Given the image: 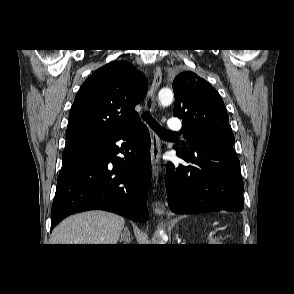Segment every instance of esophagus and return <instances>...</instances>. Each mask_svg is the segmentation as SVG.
<instances>
[{
  "label": "esophagus",
  "mask_w": 294,
  "mask_h": 294,
  "mask_svg": "<svg viewBox=\"0 0 294 294\" xmlns=\"http://www.w3.org/2000/svg\"><path fill=\"white\" fill-rule=\"evenodd\" d=\"M162 81V72L160 67L157 65L154 69V76L152 85L150 88V97H151V110L155 111V95L158 90V87L160 86ZM150 136H151V164H152V175L157 180L159 176L160 171V160H161V143L160 139L157 136V134L150 129ZM156 214H162L163 209L161 205H156L155 208Z\"/></svg>",
  "instance_id": "34e87169"
}]
</instances>
